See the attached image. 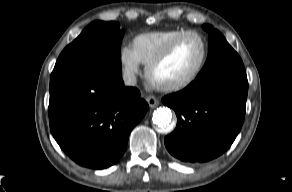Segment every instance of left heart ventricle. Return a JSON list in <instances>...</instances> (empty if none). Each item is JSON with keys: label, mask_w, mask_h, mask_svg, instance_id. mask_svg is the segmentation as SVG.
<instances>
[{"label": "left heart ventricle", "mask_w": 292, "mask_h": 192, "mask_svg": "<svg viewBox=\"0 0 292 192\" xmlns=\"http://www.w3.org/2000/svg\"><path fill=\"white\" fill-rule=\"evenodd\" d=\"M203 53L202 43L196 36L184 38L172 54L158 65L152 74L160 84H170L188 77L198 66Z\"/></svg>", "instance_id": "1"}]
</instances>
